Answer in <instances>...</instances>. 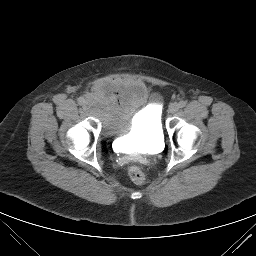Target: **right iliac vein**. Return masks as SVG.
I'll return each mask as SVG.
<instances>
[{"instance_id": "right-iliac-vein-1", "label": "right iliac vein", "mask_w": 256, "mask_h": 256, "mask_svg": "<svg viewBox=\"0 0 256 256\" xmlns=\"http://www.w3.org/2000/svg\"><path fill=\"white\" fill-rule=\"evenodd\" d=\"M84 106H85L86 108H89V107L91 106V102H90V101H86V102L84 103Z\"/></svg>"}]
</instances>
